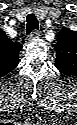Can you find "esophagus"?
Listing matches in <instances>:
<instances>
[{"label": "esophagus", "mask_w": 77, "mask_h": 125, "mask_svg": "<svg viewBox=\"0 0 77 125\" xmlns=\"http://www.w3.org/2000/svg\"><path fill=\"white\" fill-rule=\"evenodd\" d=\"M40 35V31L39 30H35L33 32H31V34L28 36L29 39H34L36 37H38Z\"/></svg>", "instance_id": "34e87169"}]
</instances>
